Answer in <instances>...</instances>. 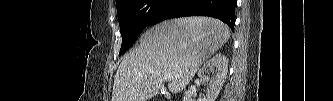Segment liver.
Listing matches in <instances>:
<instances>
[{
	"label": "liver",
	"instance_id": "1",
	"mask_svg": "<svg viewBox=\"0 0 333 101\" xmlns=\"http://www.w3.org/2000/svg\"><path fill=\"white\" fill-rule=\"evenodd\" d=\"M230 38L229 27L209 17H183L155 25L120 63L112 101H147L171 75L168 90L185 89L201 65Z\"/></svg>",
	"mask_w": 333,
	"mask_h": 101
}]
</instances>
